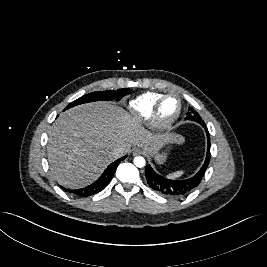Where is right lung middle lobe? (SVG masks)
I'll return each mask as SVG.
<instances>
[{
    "mask_svg": "<svg viewBox=\"0 0 267 267\" xmlns=\"http://www.w3.org/2000/svg\"><path fill=\"white\" fill-rule=\"evenodd\" d=\"M129 93H130L129 88H123V89L111 90V91H97V92L89 93L87 95H84L76 99L72 103H70L64 110L69 109L79 104H83V103L113 100L117 97H123Z\"/></svg>",
    "mask_w": 267,
    "mask_h": 267,
    "instance_id": "obj_1",
    "label": "right lung middle lobe"
}]
</instances>
